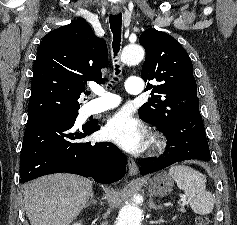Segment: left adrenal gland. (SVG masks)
<instances>
[{"instance_id":"left-adrenal-gland-1","label":"left adrenal gland","mask_w":237,"mask_h":225,"mask_svg":"<svg viewBox=\"0 0 237 225\" xmlns=\"http://www.w3.org/2000/svg\"><path fill=\"white\" fill-rule=\"evenodd\" d=\"M149 208L154 210H160L162 209L161 205H155L152 196L149 198Z\"/></svg>"}]
</instances>
